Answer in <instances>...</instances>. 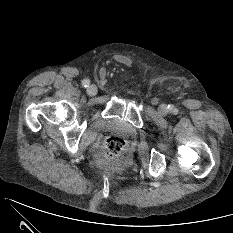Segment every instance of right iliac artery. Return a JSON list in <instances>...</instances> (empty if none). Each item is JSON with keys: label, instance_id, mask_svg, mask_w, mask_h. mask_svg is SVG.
<instances>
[{"label": "right iliac artery", "instance_id": "82829eb1", "mask_svg": "<svg viewBox=\"0 0 233 233\" xmlns=\"http://www.w3.org/2000/svg\"><path fill=\"white\" fill-rule=\"evenodd\" d=\"M89 84H90V81H89L88 79H84V80L82 81V86L85 87V88L88 87Z\"/></svg>", "mask_w": 233, "mask_h": 233}]
</instances>
